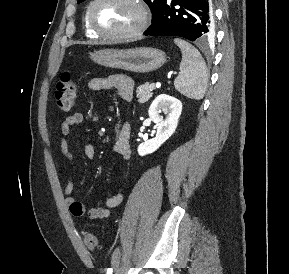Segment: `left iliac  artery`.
<instances>
[{
    "label": "left iliac artery",
    "instance_id": "left-iliac-artery-1",
    "mask_svg": "<svg viewBox=\"0 0 289 274\" xmlns=\"http://www.w3.org/2000/svg\"><path fill=\"white\" fill-rule=\"evenodd\" d=\"M113 273V269L112 268H108L106 274H112Z\"/></svg>",
    "mask_w": 289,
    "mask_h": 274
}]
</instances>
